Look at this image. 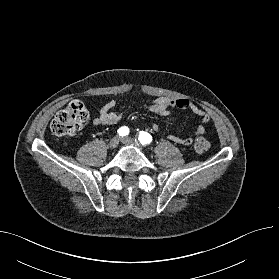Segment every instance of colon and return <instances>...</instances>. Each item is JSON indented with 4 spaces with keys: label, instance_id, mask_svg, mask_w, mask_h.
Listing matches in <instances>:
<instances>
[{
    "label": "colon",
    "instance_id": "obj_1",
    "mask_svg": "<svg viewBox=\"0 0 279 279\" xmlns=\"http://www.w3.org/2000/svg\"><path fill=\"white\" fill-rule=\"evenodd\" d=\"M88 118V112L80 100H74L68 106L59 111L53 118L50 129L56 136H72L79 132ZM210 147L209 142L199 137L196 139L194 148L197 152L203 153Z\"/></svg>",
    "mask_w": 279,
    "mask_h": 279
}]
</instances>
